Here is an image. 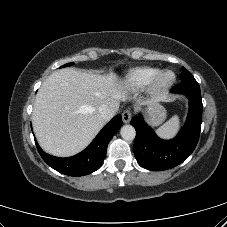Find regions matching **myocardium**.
Here are the masks:
<instances>
[{
    "label": "myocardium",
    "mask_w": 227,
    "mask_h": 227,
    "mask_svg": "<svg viewBox=\"0 0 227 227\" xmlns=\"http://www.w3.org/2000/svg\"><path fill=\"white\" fill-rule=\"evenodd\" d=\"M176 76L171 70H160L150 83V91L160 94L170 88L175 82Z\"/></svg>",
    "instance_id": "f54148a6"
}]
</instances>
